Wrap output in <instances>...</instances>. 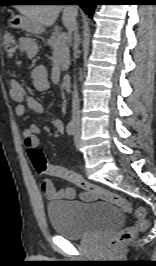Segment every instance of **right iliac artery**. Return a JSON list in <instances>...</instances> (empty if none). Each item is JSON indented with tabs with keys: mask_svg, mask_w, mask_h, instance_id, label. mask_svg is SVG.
Returning <instances> with one entry per match:
<instances>
[{
	"mask_svg": "<svg viewBox=\"0 0 156 266\" xmlns=\"http://www.w3.org/2000/svg\"><path fill=\"white\" fill-rule=\"evenodd\" d=\"M66 131L69 135H74L75 131H76V125L75 122L73 120H71L67 126H66Z\"/></svg>",
	"mask_w": 156,
	"mask_h": 266,
	"instance_id": "right-iliac-artery-1",
	"label": "right iliac artery"
}]
</instances>
